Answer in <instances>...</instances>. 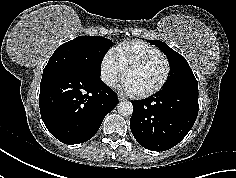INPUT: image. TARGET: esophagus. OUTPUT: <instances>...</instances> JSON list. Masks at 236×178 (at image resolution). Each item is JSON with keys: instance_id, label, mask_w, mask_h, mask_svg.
Wrapping results in <instances>:
<instances>
[{"instance_id": "1", "label": "esophagus", "mask_w": 236, "mask_h": 178, "mask_svg": "<svg viewBox=\"0 0 236 178\" xmlns=\"http://www.w3.org/2000/svg\"><path fill=\"white\" fill-rule=\"evenodd\" d=\"M118 100L119 101H123V100H125V97L123 95L119 94L118 95Z\"/></svg>"}]
</instances>
